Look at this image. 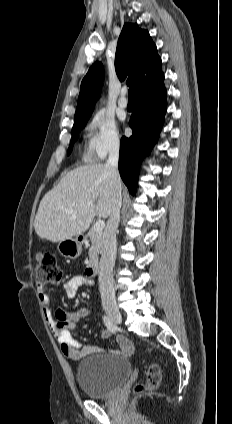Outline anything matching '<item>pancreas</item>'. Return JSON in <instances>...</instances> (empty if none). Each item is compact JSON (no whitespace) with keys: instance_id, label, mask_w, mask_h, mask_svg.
<instances>
[{"instance_id":"obj_1","label":"pancreas","mask_w":232,"mask_h":424,"mask_svg":"<svg viewBox=\"0 0 232 424\" xmlns=\"http://www.w3.org/2000/svg\"><path fill=\"white\" fill-rule=\"evenodd\" d=\"M87 237L91 242V248L89 249V261L92 263L98 259V254L102 246V231H98L92 227L87 233Z\"/></svg>"}]
</instances>
